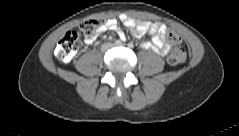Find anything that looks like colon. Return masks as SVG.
Here are the masks:
<instances>
[{
    "instance_id": "5ec220e1",
    "label": "colon",
    "mask_w": 239,
    "mask_h": 136,
    "mask_svg": "<svg viewBox=\"0 0 239 136\" xmlns=\"http://www.w3.org/2000/svg\"><path fill=\"white\" fill-rule=\"evenodd\" d=\"M99 22L96 20H87L81 24L80 27L73 29L65 34L59 41L55 54L64 63H68L74 54L78 51L80 46L81 35L86 38H95L99 32ZM167 37L174 45L168 61L172 65H177L185 60V49L180 45V36L175 31H168Z\"/></svg>"
}]
</instances>
